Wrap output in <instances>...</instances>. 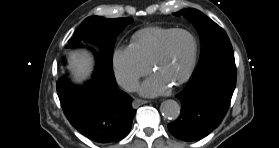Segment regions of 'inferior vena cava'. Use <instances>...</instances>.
I'll return each mask as SVG.
<instances>
[{"mask_svg":"<svg viewBox=\"0 0 279 148\" xmlns=\"http://www.w3.org/2000/svg\"><path fill=\"white\" fill-rule=\"evenodd\" d=\"M118 84L128 92H134L139 87L138 80L132 77H120L118 78Z\"/></svg>","mask_w":279,"mask_h":148,"instance_id":"inferior-vena-cava-1","label":"inferior vena cava"}]
</instances>
